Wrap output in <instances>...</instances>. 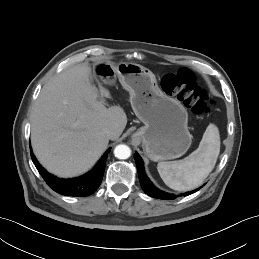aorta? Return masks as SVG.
Masks as SVG:
<instances>
[{
  "mask_svg": "<svg viewBox=\"0 0 259 259\" xmlns=\"http://www.w3.org/2000/svg\"><path fill=\"white\" fill-rule=\"evenodd\" d=\"M131 155V150L127 145L120 144L114 149V156L118 159H127Z\"/></svg>",
  "mask_w": 259,
  "mask_h": 259,
  "instance_id": "1",
  "label": "aorta"
}]
</instances>
